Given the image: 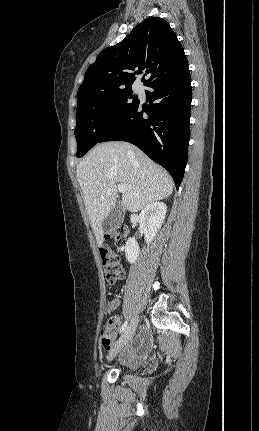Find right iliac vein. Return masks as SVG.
<instances>
[{"label":"right iliac vein","mask_w":259,"mask_h":431,"mask_svg":"<svg viewBox=\"0 0 259 431\" xmlns=\"http://www.w3.org/2000/svg\"><path fill=\"white\" fill-rule=\"evenodd\" d=\"M137 324L138 318H134L129 324V326L125 329L115 348L109 353L107 357L108 361H111L115 357V355L124 347V345H126L128 341L132 338L136 330Z\"/></svg>","instance_id":"right-iliac-vein-1"}]
</instances>
